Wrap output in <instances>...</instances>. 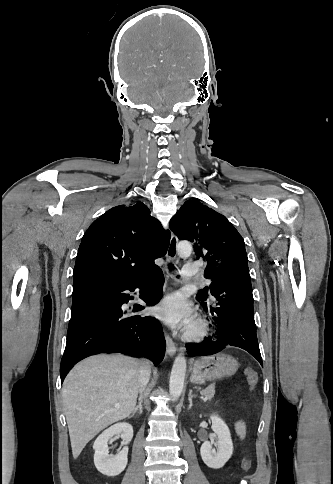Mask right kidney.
Listing matches in <instances>:
<instances>
[{"instance_id": "right-kidney-1", "label": "right kidney", "mask_w": 333, "mask_h": 484, "mask_svg": "<svg viewBox=\"0 0 333 484\" xmlns=\"http://www.w3.org/2000/svg\"><path fill=\"white\" fill-rule=\"evenodd\" d=\"M116 434H120L125 446L116 455H109L108 440ZM133 438V427L129 423H117L105 430L95 440L93 449L94 464L97 470L105 476L113 477L119 475L127 465L128 447L127 444Z\"/></svg>"}]
</instances>
